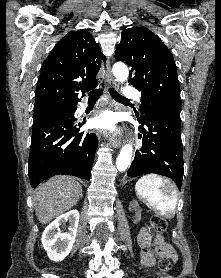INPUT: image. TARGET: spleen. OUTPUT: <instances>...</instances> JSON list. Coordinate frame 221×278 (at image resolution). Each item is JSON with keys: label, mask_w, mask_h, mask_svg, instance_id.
Returning a JSON list of instances; mask_svg holds the SVG:
<instances>
[{"label": "spleen", "mask_w": 221, "mask_h": 278, "mask_svg": "<svg viewBox=\"0 0 221 278\" xmlns=\"http://www.w3.org/2000/svg\"><path fill=\"white\" fill-rule=\"evenodd\" d=\"M135 191L137 197L159 215L167 219L174 217L177 195L174 185L169 180L148 174L137 181Z\"/></svg>", "instance_id": "spleen-1"}]
</instances>
